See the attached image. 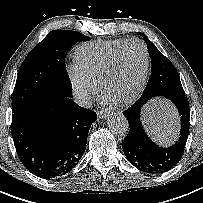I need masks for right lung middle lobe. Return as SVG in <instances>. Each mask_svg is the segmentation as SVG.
<instances>
[{
	"instance_id": "right-lung-middle-lobe-1",
	"label": "right lung middle lobe",
	"mask_w": 203,
	"mask_h": 203,
	"mask_svg": "<svg viewBox=\"0 0 203 203\" xmlns=\"http://www.w3.org/2000/svg\"><path fill=\"white\" fill-rule=\"evenodd\" d=\"M89 37L70 30H53L24 59L16 80L12 112L52 96L72 95V85L64 64L72 45Z\"/></svg>"
}]
</instances>
